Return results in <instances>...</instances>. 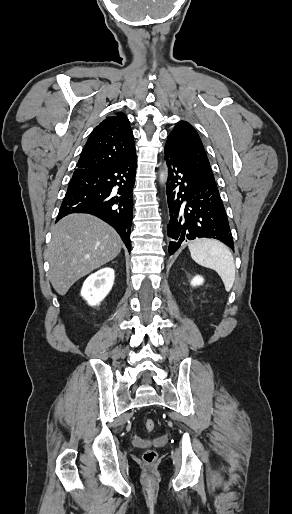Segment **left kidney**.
Segmentation results:
<instances>
[{"label": "left kidney", "instance_id": "obj_1", "mask_svg": "<svg viewBox=\"0 0 292 514\" xmlns=\"http://www.w3.org/2000/svg\"><path fill=\"white\" fill-rule=\"evenodd\" d=\"M204 280L202 276H196V278H193L191 284L192 286H201L203 284Z\"/></svg>", "mask_w": 292, "mask_h": 514}]
</instances>
